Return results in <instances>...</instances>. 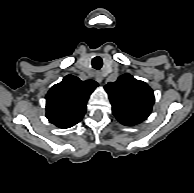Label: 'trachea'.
<instances>
[{
	"instance_id": "1",
	"label": "trachea",
	"mask_w": 194,
	"mask_h": 193,
	"mask_svg": "<svg viewBox=\"0 0 194 193\" xmlns=\"http://www.w3.org/2000/svg\"><path fill=\"white\" fill-rule=\"evenodd\" d=\"M103 65L101 57L96 56L92 59V67L96 70H99Z\"/></svg>"
}]
</instances>
